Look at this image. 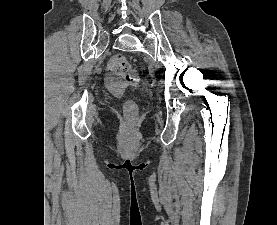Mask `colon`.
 I'll return each instance as SVG.
<instances>
[{
  "label": "colon",
  "instance_id": "obj_1",
  "mask_svg": "<svg viewBox=\"0 0 277 225\" xmlns=\"http://www.w3.org/2000/svg\"><path fill=\"white\" fill-rule=\"evenodd\" d=\"M108 69L112 73L123 76L128 85H134L137 82L138 73L136 69L131 67L124 55L112 56L108 63ZM123 113L129 121H134L138 114L137 104L132 100L125 101Z\"/></svg>",
  "mask_w": 277,
  "mask_h": 225
}]
</instances>
